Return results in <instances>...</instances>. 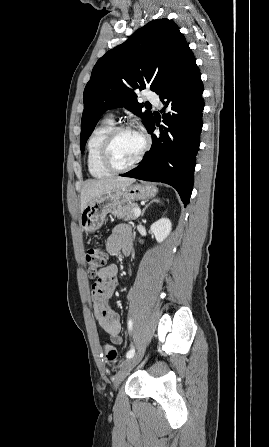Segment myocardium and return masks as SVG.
Instances as JSON below:
<instances>
[{
    "instance_id": "1",
    "label": "myocardium",
    "mask_w": 269,
    "mask_h": 447,
    "mask_svg": "<svg viewBox=\"0 0 269 447\" xmlns=\"http://www.w3.org/2000/svg\"><path fill=\"white\" fill-rule=\"evenodd\" d=\"M133 128L138 129L143 133L144 138H145V145H144L142 151L140 152V154L138 155V157L132 163H130L129 165H126V166H119L112 159V144L114 142V139L120 132L128 130V129H133ZM151 145H152L151 137L144 129L134 126V125H131V124H122L119 126H115L107 134V136L103 142L102 152H101L102 164L113 172H124V171L130 170V169L134 168L136 165H138L144 159V157L150 150Z\"/></svg>"
}]
</instances>
